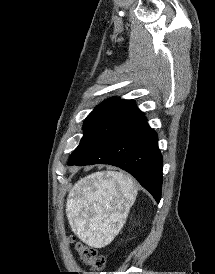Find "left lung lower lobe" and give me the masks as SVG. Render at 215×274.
Listing matches in <instances>:
<instances>
[{"mask_svg": "<svg viewBox=\"0 0 215 274\" xmlns=\"http://www.w3.org/2000/svg\"><path fill=\"white\" fill-rule=\"evenodd\" d=\"M162 163L157 134L140 112L116 128L86 157L78 162H68V165L117 166L132 174L159 202Z\"/></svg>", "mask_w": 215, "mask_h": 274, "instance_id": "1", "label": "left lung lower lobe"}]
</instances>
